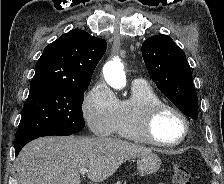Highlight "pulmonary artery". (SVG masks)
<instances>
[{
    "label": "pulmonary artery",
    "mask_w": 224,
    "mask_h": 184,
    "mask_svg": "<svg viewBox=\"0 0 224 184\" xmlns=\"http://www.w3.org/2000/svg\"><path fill=\"white\" fill-rule=\"evenodd\" d=\"M136 81H137V82H141V80H140V79H137Z\"/></svg>",
    "instance_id": "1"
}]
</instances>
